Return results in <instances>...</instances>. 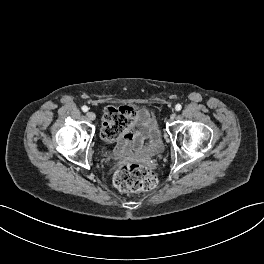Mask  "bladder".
I'll return each instance as SVG.
<instances>
[{"label":"bladder","mask_w":264,"mask_h":264,"mask_svg":"<svg viewBox=\"0 0 264 264\" xmlns=\"http://www.w3.org/2000/svg\"><path fill=\"white\" fill-rule=\"evenodd\" d=\"M163 150H164V142H163L160 132L158 131V134L155 140L150 145V147L146 150V154L149 156H157L161 154Z\"/></svg>","instance_id":"1"}]
</instances>
